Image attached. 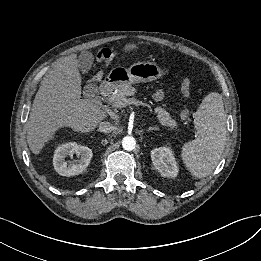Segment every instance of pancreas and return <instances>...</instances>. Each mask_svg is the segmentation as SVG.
Returning <instances> with one entry per match:
<instances>
[{
	"label": "pancreas",
	"instance_id": "cf45deb5",
	"mask_svg": "<svg viewBox=\"0 0 261 261\" xmlns=\"http://www.w3.org/2000/svg\"><path fill=\"white\" fill-rule=\"evenodd\" d=\"M136 93V89L131 85L120 86L113 94L108 96V100L112 105L118 102L128 100L129 96H133ZM154 114L156 115L159 122L167 129L174 130L177 128L176 121L170 116L164 108L158 106L154 108Z\"/></svg>",
	"mask_w": 261,
	"mask_h": 261
}]
</instances>
